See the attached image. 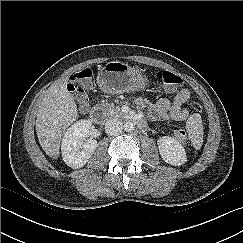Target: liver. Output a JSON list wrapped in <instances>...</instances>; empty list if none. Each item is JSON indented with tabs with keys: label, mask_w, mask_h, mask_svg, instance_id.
Here are the masks:
<instances>
[{
	"label": "liver",
	"mask_w": 243,
	"mask_h": 243,
	"mask_svg": "<svg viewBox=\"0 0 243 243\" xmlns=\"http://www.w3.org/2000/svg\"><path fill=\"white\" fill-rule=\"evenodd\" d=\"M68 79L52 85L42 99L36 119V133L44 152L57 159L61 137L77 118V105L67 90Z\"/></svg>",
	"instance_id": "liver-1"
}]
</instances>
